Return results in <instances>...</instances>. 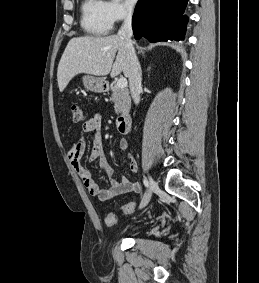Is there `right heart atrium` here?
Instances as JSON below:
<instances>
[{"mask_svg": "<svg viewBox=\"0 0 259 283\" xmlns=\"http://www.w3.org/2000/svg\"><path fill=\"white\" fill-rule=\"evenodd\" d=\"M107 11L112 22H121L133 14L134 7L122 0H110L106 2Z\"/></svg>", "mask_w": 259, "mask_h": 283, "instance_id": "right-heart-atrium-1", "label": "right heart atrium"}]
</instances>
